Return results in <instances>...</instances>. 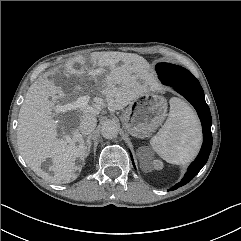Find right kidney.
I'll use <instances>...</instances> for the list:
<instances>
[{"mask_svg": "<svg viewBox=\"0 0 241 241\" xmlns=\"http://www.w3.org/2000/svg\"><path fill=\"white\" fill-rule=\"evenodd\" d=\"M34 171L38 172V168H34Z\"/></svg>", "mask_w": 241, "mask_h": 241, "instance_id": "right-kidney-1", "label": "right kidney"}]
</instances>
